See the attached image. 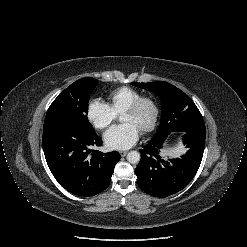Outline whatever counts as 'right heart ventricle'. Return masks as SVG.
<instances>
[{"mask_svg":"<svg viewBox=\"0 0 247 247\" xmlns=\"http://www.w3.org/2000/svg\"><path fill=\"white\" fill-rule=\"evenodd\" d=\"M142 96V92L128 86L119 87L107 95V104L116 113L119 114L137 98Z\"/></svg>","mask_w":247,"mask_h":247,"instance_id":"obj_1","label":"right heart ventricle"}]
</instances>
